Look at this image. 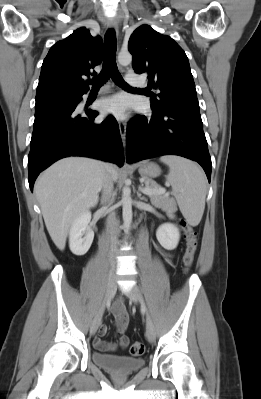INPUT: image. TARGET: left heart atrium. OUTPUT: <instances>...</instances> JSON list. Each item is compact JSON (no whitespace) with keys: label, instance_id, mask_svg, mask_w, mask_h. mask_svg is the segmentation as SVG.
Instances as JSON below:
<instances>
[{"label":"left heart atrium","instance_id":"39dd6f15","mask_svg":"<svg viewBox=\"0 0 261 399\" xmlns=\"http://www.w3.org/2000/svg\"><path fill=\"white\" fill-rule=\"evenodd\" d=\"M99 107L104 113L112 114L118 118H123L127 114L129 100L125 95L117 94L101 101Z\"/></svg>","mask_w":261,"mask_h":399}]
</instances>
